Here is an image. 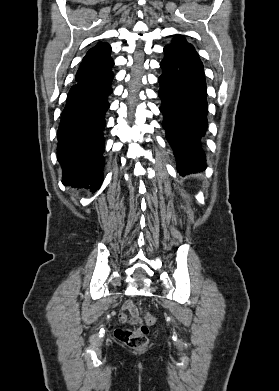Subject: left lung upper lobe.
<instances>
[{
  "instance_id": "5c2ea615",
  "label": "left lung upper lobe",
  "mask_w": 279,
  "mask_h": 391,
  "mask_svg": "<svg viewBox=\"0 0 279 391\" xmlns=\"http://www.w3.org/2000/svg\"><path fill=\"white\" fill-rule=\"evenodd\" d=\"M166 47L187 52L188 54H190L191 56L195 57L196 59H198L200 61L199 56H198L197 52L195 51V48L191 44H189L186 41V39L184 37H182L181 35H174L172 43L167 45Z\"/></svg>"
}]
</instances>
